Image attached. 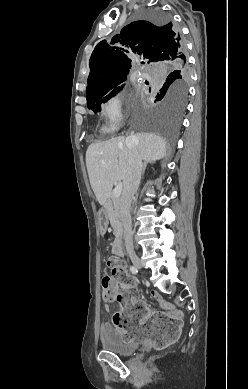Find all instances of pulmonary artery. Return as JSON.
Segmentation results:
<instances>
[{
    "label": "pulmonary artery",
    "mask_w": 248,
    "mask_h": 389,
    "mask_svg": "<svg viewBox=\"0 0 248 389\" xmlns=\"http://www.w3.org/2000/svg\"><path fill=\"white\" fill-rule=\"evenodd\" d=\"M140 77V75L138 74V75H136V78L138 79Z\"/></svg>",
    "instance_id": "pulmonary-artery-1"
}]
</instances>
